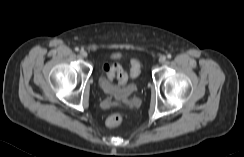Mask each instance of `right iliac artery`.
I'll return each instance as SVG.
<instances>
[{
    "mask_svg": "<svg viewBox=\"0 0 244 157\" xmlns=\"http://www.w3.org/2000/svg\"><path fill=\"white\" fill-rule=\"evenodd\" d=\"M75 51H79V48H78V47H76V48H75Z\"/></svg>",
    "mask_w": 244,
    "mask_h": 157,
    "instance_id": "1",
    "label": "right iliac artery"
}]
</instances>
